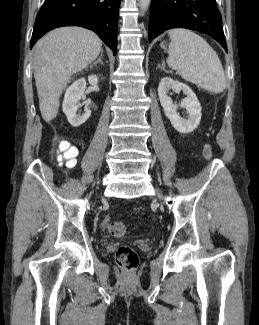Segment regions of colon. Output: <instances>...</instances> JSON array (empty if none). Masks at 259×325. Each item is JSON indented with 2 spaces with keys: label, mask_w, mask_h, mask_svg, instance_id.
I'll list each match as a JSON object with an SVG mask.
<instances>
[{
  "label": "colon",
  "mask_w": 259,
  "mask_h": 325,
  "mask_svg": "<svg viewBox=\"0 0 259 325\" xmlns=\"http://www.w3.org/2000/svg\"><path fill=\"white\" fill-rule=\"evenodd\" d=\"M56 153L59 161L67 168H72L75 166L77 152L68 142H59ZM205 156L207 159H210L211 151L209 149L205 151ZM105 226L106 230L112 237L121 238L126 234L127 228L123 222L107 221ZM116 261L122 269L132 271L136 269L139 260L134 249L127 245H122L117 249Z\"/></svg>",
  "instance_id": "obj_1"
}]
</instances>
